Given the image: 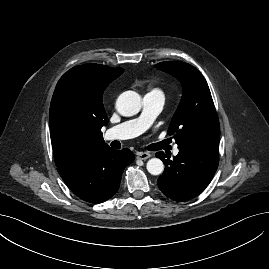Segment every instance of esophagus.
Segmentation results:
<instances>
[{"label": "esophagus", "instance_id": "34e87169", "mask_svg": "<svg viewBox=\"0 0 269 269\" xmlns=\"http://www.w3.org/2000/svg\"><path fill=\"white\" fill-rule=\"evenodd\" d=\"M136 157L140 160H146L151 157V154L148 152H138Z\"/></svg>", "mask_w": 269, "mask_h": 269}]
</instances>
